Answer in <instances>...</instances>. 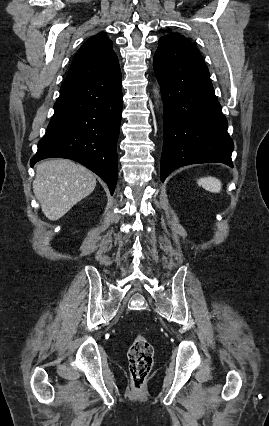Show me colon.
Returning <instances> with one entry per match:
<instances>
[{
  "mask_svg": "<svg viewBox=\"0 0 269 426\" xmlns=\"http://www.w3.org/2000/svg\"><path fill=\"white\" fill-rule=\"evenodd\" d=\"M129 372L135 391L143 389L153 366V347L144 335H137L128 351Z\"/></svg>",
  "mask_w": 269,
  "mask_h": 426,
  "instance_id": "obj_1",
  "label": "colon"
}]
</instances>
